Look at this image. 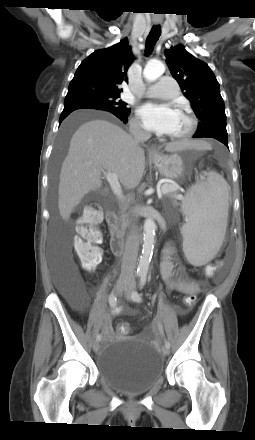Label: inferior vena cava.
I'll list each match as a JSON object with an SVG mask.
<instances>
[{
  "mask_svg": "<svg viewBox=\"0 0 255 440\" xmlns=\"http://www.w3.org/2000/svg\"><path fill=\"white\" fill-rule=\"evenodd\" d=\"M130 133L133 135L136 142H144L149 139L150 134L142 130L138 124L130 126ZM135 216V214H134ZM140 237L138 228L135 223L132 224L129 234L126 238V244L121 265V280L132 281L134 279V272L136 269V261L139 250Z\"/></svg>",
  "mask_w": 255,
  "mask_h": 440,
  "instance_id": "1",
  "label": "inferior vena cava"
}]
</instances>
